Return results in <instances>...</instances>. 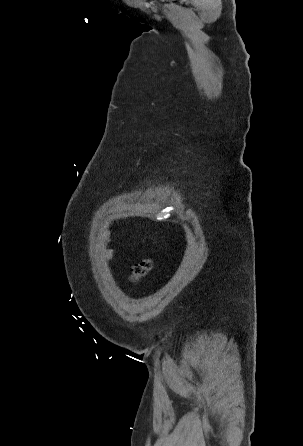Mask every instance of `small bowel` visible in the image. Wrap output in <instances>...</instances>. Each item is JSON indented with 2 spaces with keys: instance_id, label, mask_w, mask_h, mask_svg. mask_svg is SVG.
<instances>
[{
  "instance_id": "1",
  "label": "small bowel",
  "mask_w": 303,
  "mask_h": 446,
  "mask_svg": "<svg viewBox=\"0 0 303 446\" xmlns=\"http://www.w3.org/2000/svg\"><path fill=\"white\" fill-rule=\"evenodd\" d=\"M105 240L108 242L111 241L109 236L105 237ZM118 250L115 247H109L104 251V259L106 262L111 263L113 261L114 256L117 254Z\"/></svg>"
}]
</instances>
